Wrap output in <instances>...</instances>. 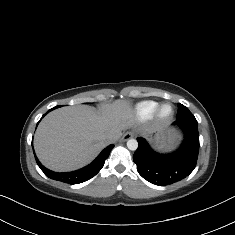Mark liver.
Instances as JSON below:
<instances>
[{
	"instance_id": "6515ba94",
	"label": "liver",
	"mask_w": 235,
	"mask_h": 235,
	"mask_svg": "<svg viewBox=\"0 0 235 235\" xmlns=\"http://www.w3.org/2000/svg\"><path fill=\"white\" fill-rule=\"evenodd\" d=\"M130 105L64 107L49 113L39 124L34 146L40 161L55 171H69L89 163L106 146L105 137L132 125Z\"/></svg>"
}]
</instances>
